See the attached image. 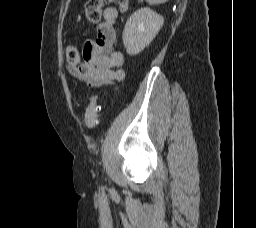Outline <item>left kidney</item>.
Segmentation results:
<instances>
[{
  "instance_id": "5707ae66",
  "label": "left kidney",
  "mask_w": 256,
  "mask_h": 228,
  "mask_svg": "<svg viewBox=\"0 0 256 228\" xmlns=\"http://www.w3.org/2000/svg\"><path fill=\"white\" fill-rule=\"evenodd\" d=\"M164 18L144 7L134 12L127 20L123 31V44L129 55H137L156 37L163 26Z\"/></svg>"
}]
</instances>
